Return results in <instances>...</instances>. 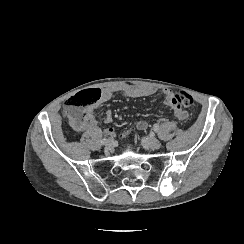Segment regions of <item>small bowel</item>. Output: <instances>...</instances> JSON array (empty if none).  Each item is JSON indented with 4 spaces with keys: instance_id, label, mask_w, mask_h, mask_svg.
<instances>
[{
    "instance_id": "small-bowel-1",
    "label": "small bowel",
    "mask_w": 244,
    "mask_h": 244,
    "mask_svg": "<svg viewBox=\"0 0 244 244\" xmlns=\"http://www.w3.org/2000/svg\"><path fill=\"white\" fill-rule=\"evenodd\" d=\"M98 91L100 92V99L98 100V102L92 106L86 107V110L89 112L91 117V124L88 129L96 126L98 110L101 104L110 100L115 95L119 94L131 98H143L155 93V90L150 87L131 86V85H123V84L110 85ZM162 92L164 95V104L167 107L171 108L176 119L180 122H186L188 120L189 114L185 109L172 103V91L170 89H163ZM102 118L104 122L111 123L113 120L111 111L109 110L105 111L102 114ZM160 121L164 122L165 119H161ZM147 127H148V123L144 121V123L142 125H139L137 128L144 130Z\"/></svg>"
}]
</instances>
